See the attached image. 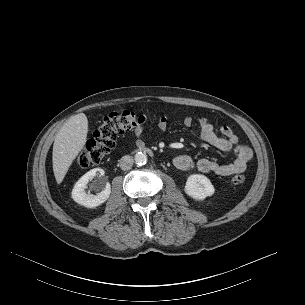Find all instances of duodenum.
I'll use <instances>...</instances> for the list:
<instances>
[{"instance_id": "1", "label": "duodenum", "mask_w": 305, "mask_h": 305, "mask_svg": "<svg viewBox=\"0 0 305 305\" xmlns=\"http://www.w3.org/2000/svg\"><path fill=\"white\" fill-rule=\"evenodd\" d=\"M141 149H142V150H145V151H147V152H151V150L148 149V148H146V147H142Z\"/></svg>"}]
</instances>
